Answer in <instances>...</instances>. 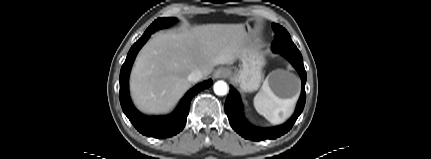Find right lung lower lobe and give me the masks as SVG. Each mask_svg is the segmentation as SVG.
<instances>
[{"label": "right lung lower lobe", "instance_id": "98d812e1", "mask_svg": "<svg viewBox=\"0 0 431 159\" xmlns=\"http://www.w3.org/2000/svg\"><path fill=\"white\" fill-rule=\"evenodd\" d=\"M153 32L155 31H145L143 36L129 50L120 72L119 96L122 110L134 127L143 135L160 139L172 137L183 130L193 96L210 87L213 81L211 79L207 80L190 89L179 103L177 109L169 116L148 117L138 112L129 97V73L138 51Z\"/></svg>", "mask_w": 431, "mask_h": 159}]
</instances>
